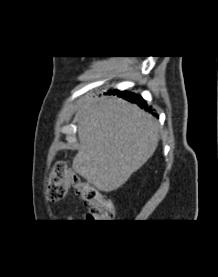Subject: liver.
I'll use <instances>...</instances> for the list:
<instances>
[{"instance_id":"1","label":"liver","mask_w":218,"mask_h":277,"mask_svg":"<svg viewBox=\"0 0 218 277\" xmlns=\"http://www.w3.org/2000/svg\"><path fill=\"white\" fill-rule=\"evenodd\" d=\"M80 148L73 170L98 190L121 187L154 154L158 124L123 99L88 100L77 119Z\"/></svg>"}]
</instances>
